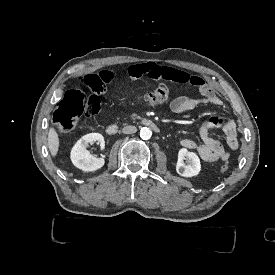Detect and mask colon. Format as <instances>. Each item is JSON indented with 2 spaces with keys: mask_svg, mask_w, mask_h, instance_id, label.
I'll return each mask as SVG.
<instances>
[{
  "mask_svg": "<svg viewBox=\"0 0 275 275\" xmlns=\"http://www.w3.org/2000/svg\"><path fill=\"white\" fill-rule=\"evenodd\" d=\"M78 80L80 83H88L93 93L86 94L77 89L66 92L64 99L58 102L53 112V121L61 132L71 131L81 118L95 115L100 108L98 95H105L109 89L100 82L98 72H80ZM170 96L167 84L157 80L152 84L151 92L142 95L140 99L148 104H156L167 100ZM220 170L224 174L230 172L231 167L227 160L220 162Z\"/></svg>",
  "mask_w": 275,
  "mask_h": 275,
  "instance_id": "colon-1",
  "label": "colon"
}]
</instances>
